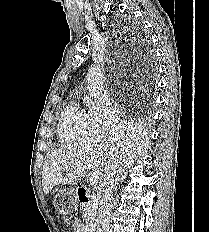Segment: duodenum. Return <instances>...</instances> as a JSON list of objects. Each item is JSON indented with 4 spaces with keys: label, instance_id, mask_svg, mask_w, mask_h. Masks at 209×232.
Masks as SVG:
<instances>
[{
    "label": "duodenum",
    "instance_id": "1",
    "mask_svg": "<svg viewBox=\"0 0 209 232\" xmlns=\"http://www.w3.org/2000/svg\"><path fill=\"white\" fill-rule=\"evenodd\" d=\"M79 191V200L82 203H85L89 199V190L86 187H80L78 188ZM88 232H94V229H89Z\"/></svg>",
    "mask_w": 209,
    "mask_h": 232
}]
</instances>
